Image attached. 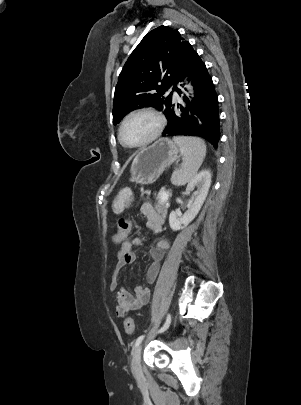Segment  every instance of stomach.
<instances>
[{"label": "stomach", "mask_w": 301, "mask_h": 405, "mask_svg": "<svg viewBox=\"0 0 301 405\" xmlns=\"http://www.w3.org/2000/svg\"><path fill=\"white\" fill-rule=\"evenodd\" d=\"M178 152L177 145L167 138L142 149L131 164V181L141 185L154 183L164 169L176 160Z\"/></svg>", "instance_id": "1"}]
</instances>
